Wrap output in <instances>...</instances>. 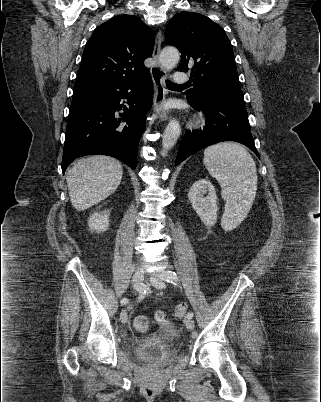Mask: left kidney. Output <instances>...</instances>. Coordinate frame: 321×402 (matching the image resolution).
Returning <instances> with one entry per match:
<instances>
[{"label": "left kidney", "mask_w": 321, "mask_h": 402, "mask_svg": "<svg viewBox=\"0 0 321 402\" xmlns=\"http://www.w3.org/2000/svg\"><path fill=\"white\" fill-rule=\"evenodd\" d=\"M204 193H207L206 197L203 196ZM188 199L205 225L210 227L216 223L217 196L214 186L208 179L202 178L194 182L188 192Z\"/></svg>", "instance_id": "1"}]
</instances>
